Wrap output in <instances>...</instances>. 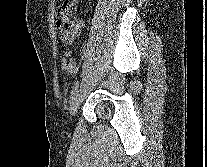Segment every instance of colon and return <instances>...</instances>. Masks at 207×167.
Wrapping results in <instances>:
<instances>
[{"label": "colon", "instance_id": "1", "mask_svg": "<svg viewBox=\"0 0 207 167\" xmlns=\"http://www.w3.org/2000/svg\"><path fill=\"white\" fill-rule=\"evenodd\" d=\"M76 0H65L57 13V27L62 31L63 38L71 41L76 37L75 31L78 22L74 16Z\"/></svg>", "mask_w": 207, "mask_h": 167}]
</instances>
